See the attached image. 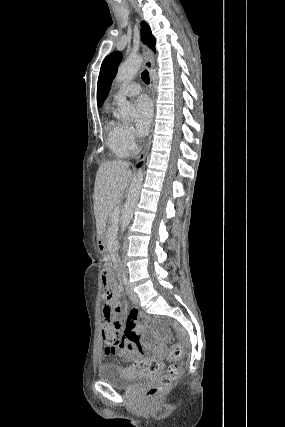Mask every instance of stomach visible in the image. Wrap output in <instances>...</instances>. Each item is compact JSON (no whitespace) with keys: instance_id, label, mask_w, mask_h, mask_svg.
<instances>
[{"instance_id":"1","label":"stomach","mask_w":285,"mask_h":427,"mask_svg":"<svg viewBox=\"0 0 285 427\" xmlns=\"http://www.w3.org/2000/svg\"><path fill=\"white\" fill-rule=\"evenodd\" d=\"M98 250L101 254H105L107 251V241L104 236L99 237L97 243Z\"/></svg>"}]
</instances>
